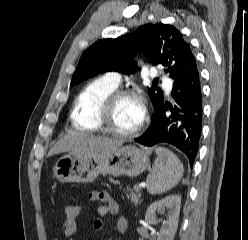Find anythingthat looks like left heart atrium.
<instances>
[{
    "mask_svg": "<svg viewBox=\"0 0 248 240\" xmlns=\"http://www.w3.org/2000/svg\"><path fill=\"white\" fill-rule=\"evenodd\" d=\"M143 117H144V112L142 110L140 115H139V123L142 121Z\"/></svg>",
    "mask_w": 248,
    "mask_h": 240,
    "instance_id": "39dd6f15",
    "label": "left heart atrium"
}]
</instances>
